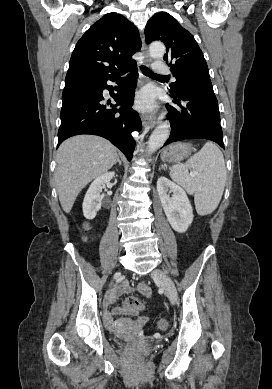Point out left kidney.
Segmentation results:
<instances>
[{
  "mask_svg": "<svg viewBox=\"0 0 272 389\" xmlns=\"http://www.w3.org/2000/svg\"><path fill=\"white\" fill-rule=\"evenodd\" d=\"M169 190L172 192L171 197L167 194ZM157 191L171 227L176 232H186L194 217L186 192L164 176L157 181Z\"/></svg>",
  "mask_w": 272,
  "mask_h": 389,
  "instance_id": "left-kidney-1",
  "label": "left kidney"
}]
</instances>
